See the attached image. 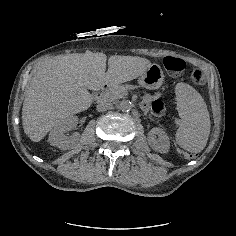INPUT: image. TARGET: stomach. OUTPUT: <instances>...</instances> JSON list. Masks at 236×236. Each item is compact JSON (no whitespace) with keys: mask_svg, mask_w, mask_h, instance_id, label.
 I'll list each match as a JSON object with an SVG mask.
<instances>
[{"mask_svg":"<svg viewBox=\"0 0 236 236\" xmlns=\"http://www.w3.org/2000/svg\"><path fill=\"white\" fill-rule=\"evenodd\" d=\"M164 81V74L159 65H152L140 78L139 83L146 89H158Z\"/></svg>","mask_w":236,"mask_h":236,"instance_id":"obj_1","label":"stomach"}]
</instances>
